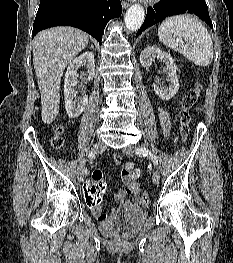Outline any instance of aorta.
I'll return each instance as SVG.
<instances>
[{
  "label": "aorta",
  "instance_id": "obj_1",
  "mask_svg": "<svg viewBox=\"0 0 233 263\" xmlns=\"http://www.w3.org/2000/svg\"><path fill=\"white\" fill-rule=\"evenodd\" d=\"M144 18H145L144 8L139 4L132 5L127 10L124 17L126 30L128 32L137 31L141 27Z\"/></svg>",
  "mask_w": 233,
  "mask_h": 263
}]
</instances>
